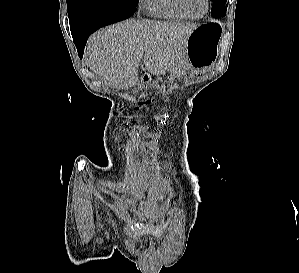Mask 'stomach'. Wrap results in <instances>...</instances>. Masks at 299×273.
I'll return each mask as SVG.
<instances>
[{
  "mask_svg": "<svg viewBox=\"0 0 299 273\" xmlns=\"http://www.w3.org/2000/svg\"><path fill=\"white\" fill-rule=\"evenodd\" d=\"M221 26L217 22L199 25L187 41L188 64L205 69L212 66L218 56Z\"/></svg>",
  "mask_w": 299,
  "mask_h": 273,
  "instance_id": "0dacf381",
  "label": "stomach"
}]
</instances>
